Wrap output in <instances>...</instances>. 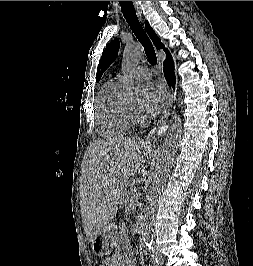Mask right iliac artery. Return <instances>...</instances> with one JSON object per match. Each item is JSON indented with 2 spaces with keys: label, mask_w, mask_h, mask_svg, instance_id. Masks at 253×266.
Wrapping results in <instances>:
<instances>
[{
  "label": "right iliac artery",
  "mask_w": 253,
  "mask_h": 266,
  "mask_svg": "<svg viewBox=\"0 0 253 266\" xmlns=\"http://www.w3.org/2000/svg\"><path fill=\"white\" fill-rule=\"evenodd\" d=\"M151 254H150V258H151V266H159V262L157 260V258L154 255V249L153 248H149Z\"/></svg>",
  "instance_id": "1"
}]
</instances>
